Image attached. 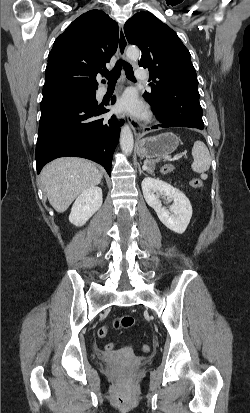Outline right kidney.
Masks as SVG:
<instances>
[{"label":"right kidney","mask_w":250,"mask_h":413,"mask_svg":"<svg viewBox=\"0 0 250 413\" xmlns=\"http://www.w3.org/2000/svg\"><path fill=\"white\" fill-rule=\"evenodd\" d=\"M102 189L94 186L83 191L74 202L69 221L75 226L84 225L102 206Z\"/></svg>","instance_id":"obj_1"}]
</instances>
